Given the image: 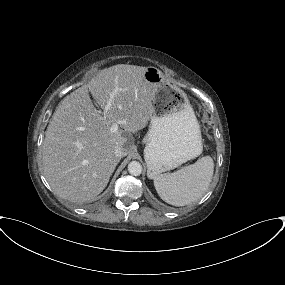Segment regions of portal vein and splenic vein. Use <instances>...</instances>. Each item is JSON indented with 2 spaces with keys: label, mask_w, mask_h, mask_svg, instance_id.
<instances>
[{
  "label": "portal vein and splenic vein",
  "mask_w": 285,
  "mask_h": 285,
  "mask_svg": "<svg viewBox=\"0 0 285 285\" xmlns=\"http://www.w3.org/2000/svg\"><path fill=\"white\" fill-rule=\"evenodd\" d=\"M110 108V103L107 104L105 110L103 112L99 111L100 114H102L104 116V118L108 117V109ZM121 123H125V121H117V122H113L112 126H111V132H117L119 130V124Z\"/></svg>",
  "instance_id": "18ae733b"
}]
</instances>
